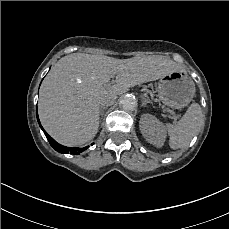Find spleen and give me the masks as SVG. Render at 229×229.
<instances>
[{
    "label": "spleen",
    "mask_w": 229,
    "mask_h": 229,
    "mask_svg": "<svg viewBox=\"0 0 229 229\" xmlns=\"http://www.w3.org/2000/svg\"><path fill=\"white\" fill-rule=\"evenodd\" d=\"M203 125V116L199 104H192L177 124L165 123L171 149L187 147L196 132Z\"/></svg>",
    "instance_id": "1"
}]
</instances>
